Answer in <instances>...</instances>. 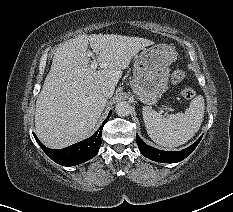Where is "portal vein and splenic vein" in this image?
<instances>
[{"label": "portal vein and splenic vein", "mask_w": 233, "mask_h": 212, "mask_svg": "<svg viewBox=\"0 0 233 212\" xmlns=\"http://www.w3.org/2000/svg\"><path fill=\"white\" fill-rule=\"evenodd\" d=\"M94 52L96 53V51H94ZM88 55L92 57L94 54L92 52H89ZM97 66H98V63L94 59L93 62H92V64L90 65V67H91V69L95 70L97 68Z\"/></svg>", "instance_id": "portal-vein-and-splenic-vein-1"}]
</instances>
